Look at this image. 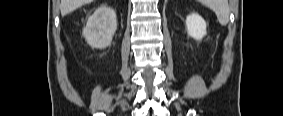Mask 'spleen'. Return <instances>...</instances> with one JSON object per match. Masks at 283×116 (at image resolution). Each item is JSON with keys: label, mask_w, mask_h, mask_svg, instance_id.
I'll list each match as a JSON object with an SVG mask.
<instances>
[{"label": "spleen", "mask_w": 283, "mask_h": 116, "mask_svg": "<svg viewBox=\"0 0 283 116\" xmlns=\"http://www.w3.org/2000/svg\"><path fill=\"white\" fill-rule=\"evenodd\" d=\"M202 3L216 14L220 25H227L230 14L227 0H204Z\"/></svg>", "instance_id": "3e777b00"}]
</instances>
